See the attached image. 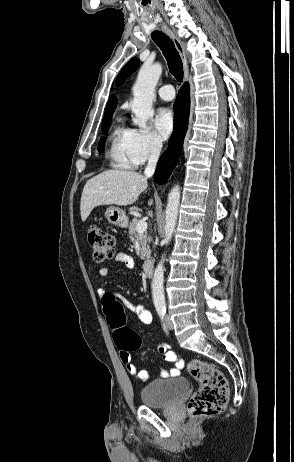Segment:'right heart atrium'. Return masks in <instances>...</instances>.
I'll return each instance as SVG.
<instances>
[{
	"label": "right heart atrium",
	"mask_w": 294,
	"mask_h": 462,
	"mask_svg": "<svg viewBox=\"0 0 294 462\" xmlns=\"http://www.w3.org/2000/svg\"><path fill=\"white\" fill-rule=\"evenodd\" d=\"M129 153L134 165H142L156 157L162 148L157 135L151 131L134 128L130 130Z\"/></svg>",
	"instance_id": "d8ad5b80"
}]
</instances>
